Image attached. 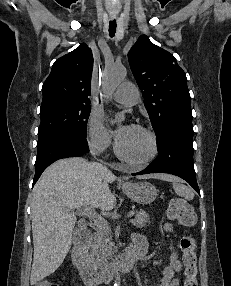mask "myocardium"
I'll use <instances>...</instances> for the list:
<instances>
[{"instance_id":"1","label":"myocardium","mask_w":231,"mask_h":286,"mask_svg":"<svg viewBox=\"0 0 231 286\" xmlns=\"http://www.w3.org/2000/svg\"><path fill=\"white\" fill-rule=\"evenodd\" d=\"M133 126L140 129L141 131H143L144 133H146L149 136V138L151 140V145H152L150 154L142 160H133V159L127 157L122 152V150L119 146V142H117L115 145V152H116V155L121 160H123L124 162H126L132 166H135V167H143V166H146L147 164H149L150 162H152L156 158V156L158 155V152H159L158 138H157V136L153 130H151L150 128H148L147 126H145L143 124L136 123Z\"/></svg>"}]
</instances>
